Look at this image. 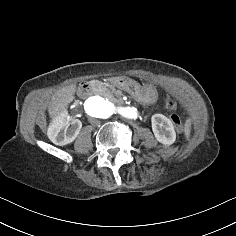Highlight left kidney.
I'll return each instance as SVG.
<instances>
[{
  "label": "left kidney",
  "mask_w": 236,
  "mask_h": 236,
  "mask_svg": "<svg viewBox=\"0 0 236 236\" xmlns=\"http://www.w3.org/2000/svg\"><path fill=\"white\" fill-rule=\"evenodd\" d=\"M152 132L157 142L165 147H170L176 140V131L171 120L163 115L156 113L151 117Z\"/></svg>",
  "instance_id": "left-kidney-1"
}]
</instances>
